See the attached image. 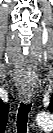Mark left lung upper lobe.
Instances as JSON below:
<instances>
[{"label":"left lung upper lobe","instance_id":"left-lung-upper-lobe-1","mask_svg":"<svg viewBox=\"0 0 53 133\" xmlns=\"http://www.w3.org/2000/svg\"><path fill=\"white\" fill-rule=\"evenodd\" d=\"M49 110H51L52 112H53V104H52V102H51V104L49 105Z\"/></svg>","mask_w":53,"mask_h":133}]
</instances>
